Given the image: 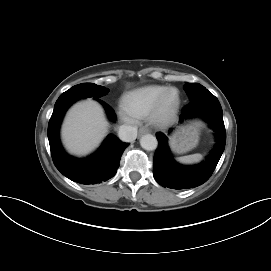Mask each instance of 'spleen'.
<instances>
[{"mask_svg": "<svg viewBox=\"0 0 271 271\" xmlns=\"http://www.w3.org/2000/svg\"><path fill=\"white\" fill-rule=\"evenodd\" d=\"M202 155L199 153L192 154V155H187L183 157L177 158V161L184 163V164H193L201 161Z\"/></svg>", "mask_w": 271, "mask_h": 271, "instance_id": "1", "label": "spleen"}]
</instances>
